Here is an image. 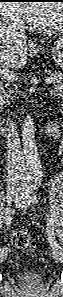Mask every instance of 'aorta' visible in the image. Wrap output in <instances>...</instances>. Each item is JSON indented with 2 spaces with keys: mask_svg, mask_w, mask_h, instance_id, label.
<instances>
[{
  "mask_svg": "<svg viewBox=\"0 0 63 297\" xmlns=\"http://www.w3.org/2000/svg\"><path fill=\"white\" fill-rule=\"evenodd\" d=\"M35 126L31 115H28L22 125L23 152L30 168H40L39 154L36 143Z\"/></svg>",
  "mask_w": 63,
  "mask_h": 297,
  "instance_id": "aorta-1",
  "label": "aorta"
}]
</instances>
